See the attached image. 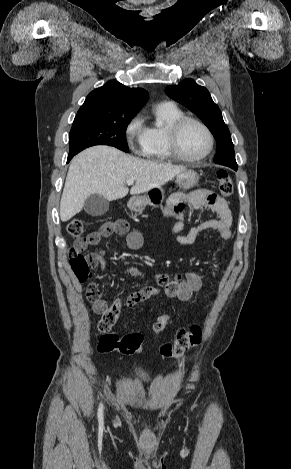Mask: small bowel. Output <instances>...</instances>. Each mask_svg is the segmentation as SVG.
Here are the masks:
<instances>
[{
    "instance_id": "small-bowel-1",
    "label": "small bowel",
    "mask_w": 291,
    "mask_h": 469,
    "mask_svg": "<svg viewBox=\"0 0 291 469\" xmlns=\"http://www.w3.org/2000/svg\"><path fill=\"white\" fill-rule=\"evenodd\" d=\"M186 204H190L195 209L206 208L218 215L217 219H208L192 227L187 234H181L184 228V210ZM164 214L177 219L172 228L175 240L180 245H191L197 237L204 231H216L223 240L231 237L232 216L225 200L217 196L215 192L207 189H200L189 194H172L164 208ZM100 229L102 237L110 236L115 233L125 237V244L130 250H137L143 245V236L139 230H130L129 224L125 220H116L104 223ZM98 242V241H97ZM92 243V244H96ZM93 265L99 264L103 270L108 269V263L103 251L93 252L87 255ZM126 273L133 276L141 275V272L134 267L125 270ZM202 274L196 271H189L170 279L167 274L160 273L156 276L159 287L163 289L164 294L170 298H177L180 301H189L194 293L202 287ZM160 290L155 287H145L137 292L130 294L125 300V306L128 309L137 304L145 302L151 297L159 294ZM93 303V310L100 314L101 311L112 308L109 307L98 291V297ZM117 304V303H115ZM119 314V313H118Z\"/></svg>"
}]
</instances>
